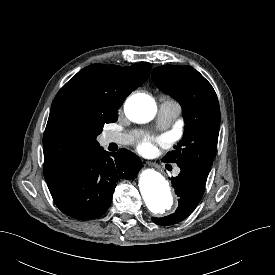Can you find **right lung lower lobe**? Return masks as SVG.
<instances>
[{
    "label": "right lung lower lobe",
    "instance_id": "obj_1",
    "mask_svg": "<svg viewBox=\"0 0 275 275\" xmlns=\"http://www.w3.org/2000/svg\"><path fill=\"white\" fill-rule=\"evenodd\" d=\"M141 166V160L128 150L108 153L97 148L74 160L47 184L64 214L88 220L107 211L117 181L134 179Z\"/></svg>",
    "mask_w": 275,
    "mask_h": 275
}]
</instances>
